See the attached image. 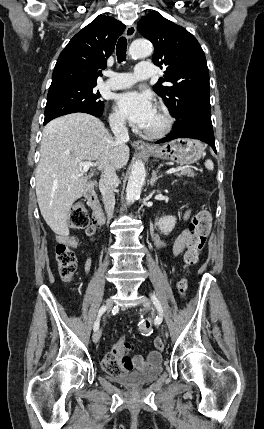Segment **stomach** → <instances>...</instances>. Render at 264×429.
Here are the masks:
<instances>
[{
  "instance_id": "0dacf381",
  "label": "stomach",
  "mask_w": 264,
  "mask_h": 429,
  "mask_svg": "<svg viewBox=\"0 0 264 429\" xmlns=\"http://www.w3.org/2000/svg\"><path fill=\"white\" fill-rule=\"evenodd\" d=\"M148 154L179 164H192L204 154V146L199 140L179 138L148 151Z\"/></svg>"
}]
</instances>
